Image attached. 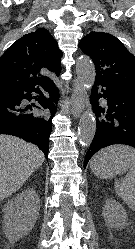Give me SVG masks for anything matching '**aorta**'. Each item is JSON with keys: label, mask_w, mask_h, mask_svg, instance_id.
<instances>
[{"label": "aorta", "mask_w": 135, "mask_h": 249, "mask_svg": "<svg viewBox=\"0 0 135 249\" xmlns=\"http://www.w3.org/2000/svg\"><path fill=\"white\" fill-rule=\"evenodd\" d=\"M76 72L78 79L84 90L88 91L95 82V68L91 60L87 57H81L77 61ZM96 120L91 107L82 114L79 127L78 137L83 146H89L95 136Z\"/></svg>", "instance_id": "obj_1"}]
</instances>
